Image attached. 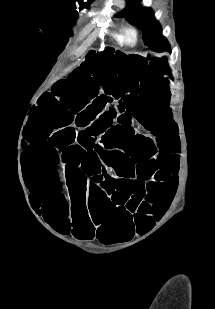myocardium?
Wrapping results in <instances>:
<instances>
[{"label":"myocardium","mask_w":215,"mask_h":309,"mask_svg":"<svg viewBox=\"0 0 215 309\" xmlns=\"http://www.w3.org/2000/svg\"><path fill=\"white\" fill-rule=\"evenodd\" d=\"M120 42L127 46H135L138 41V31L133 26H126L120 31Z\"/></svg>","instance_id":"myocardium-1"}]
</instances>
